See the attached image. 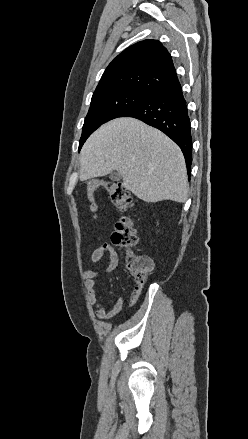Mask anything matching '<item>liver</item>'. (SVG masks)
Returning a JSON list of instances; mask_svg holds the SVG:
<instances>
[{
    "mask_svg": "<svg viewBox=\"0 0 248 439\" xmlns=\"http://www.w3.org/2000/svg\"><path fill=\"white\" fill-rule=\"evenodd\" d=\"M118 171L124 187L139 199L183 203L188 179L180 148L164 133L129 117L98 128L81 150V181Z\"/></svg>",
    "mask_w": 248,
    "mask_h": 439,
    "instance_id": "liver-1",
    "label": "liver"
}]
</instances>
